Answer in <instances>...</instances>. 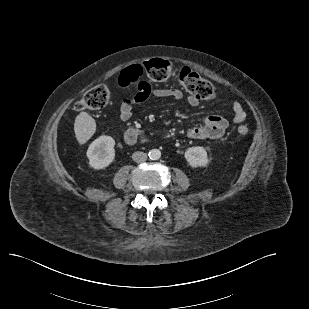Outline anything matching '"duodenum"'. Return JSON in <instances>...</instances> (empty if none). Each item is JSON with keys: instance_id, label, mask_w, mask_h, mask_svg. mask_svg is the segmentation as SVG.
Wrapping results in <instances>:
<instances>
[{"instance_id": "duodenum-1", "label": "duodenum", "mask_w": 309, "mask_h": 309, "mask_svg": "<svg viewBox=\"0 0 309 309\" xmlns=\"http://www.w3.org/2000/svg\"><path fill=\"white\" fill-rule=\"evenodd\" d=\"M133 132H134V134H135L137 137H139V136L142 135L141 132H140L139 130H137V129H133Z\"/></svg>"}]
</instances>
